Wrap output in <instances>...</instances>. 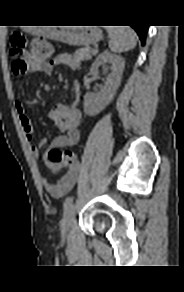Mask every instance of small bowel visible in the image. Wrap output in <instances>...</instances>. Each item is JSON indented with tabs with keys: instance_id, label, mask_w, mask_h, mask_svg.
<instances>
[{
	"instance_id": "1",
	"label": "small bowel",
	"mask_w": 184,
	"mask_h": 292,
	"mask_svg": "<svg viewBox=\"0 0 184 292\" xmlns=\"http://www.w3.org/2000/svg\"><path fill=\"white\" fill-rule=\"evenodd\" d=\"M58 66H64L70 69H76L79 66V61L69 53H60L54 56L49 61L35 63L31 66L30 70L33 72H42L47 75H51L53 70ZM74 99L70 105L57 104L49 113L51 120L55 123L56 127L62 132L53 140V147H73L77 145L80 140L79 125L81 122V113L77 109V103L79 100V84L73 85ZM16 111L19 116L21 126L29 142H31V152L34 156H38L40 152V146L45 141H35L34 127L31 120L26 114L25 106L22 100L18 99L15 102ZM44 165L53 172H58L63 168L66 171L62 178L53 183L48 178L42 180V184L45 190L54 198H61L65 196L75 185L78 179L79 165L77 163L64 166L52 163L47 154L43 157Z\"/></svg>"
}]
</instances>
